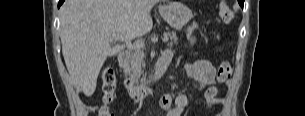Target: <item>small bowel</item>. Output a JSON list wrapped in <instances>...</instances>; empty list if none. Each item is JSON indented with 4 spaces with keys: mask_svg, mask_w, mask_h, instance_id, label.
<instances>
[{
    "mask_svg": "<svg viewBox=\"0 0 305 116\" xmlns=\"http://www.w3.org/2000/svg\"><path fill=\"white\" fill-rule=\"evenodd\" d=\"M162 56L171 59V52L166 50ZM187 74L195 80V89L203 92L208 109L222 103L223 99L217 96L215 86V68L208 60H197L185 65ZM160 107L166 112V116H184L185 110L191 104V99L184 94H166L160 98Z\"/></svg>",
    "mask_w": 305,
    "mask_h": 116,
    "instance_id": "1",
    "label": "small bowel"
}]
</instances>
